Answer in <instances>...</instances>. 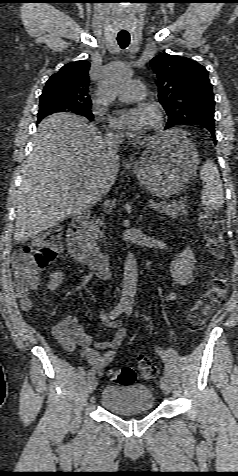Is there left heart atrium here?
Wrapping results in <instances>:
<instances>
[{
    "label": "left heart atrium",
    "mask_w": 238,
    "mask_h": 476,
    "mask_svg": "<svg viewBox=\"0 0 238 476\" xmlns=\"http://www.w3.org/2000/svg\"><path fill=\"white\" fill-rule=\"evenodd\" d=\"M152 115L151 108L141 105L114 113L111 122L120 131L129 136L137 137L152 126L154 122V115L153 122H151Z\"/></svg>",
    "instance_id": "left-heart-atrium-1"
}]
</instances>
